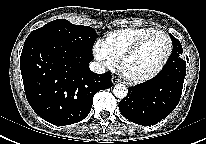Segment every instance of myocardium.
Instances as JSON below:
<instances>
[{"label": "myocardium", "mask_w": 206, "mask_h": 144, "mask_svg": "<svg viewBox=\"0 0 206 144\" xmlns=\"http://www.w3.org/2000/svg\"><path fill=\"white\" fill-rule=\"evenodd\" d=\"M155 36H163L167 39V42H168V51H167V54H166L164 60L162 61V63L153 72H151L147 75L140 76V77H132V76L128 75L124 70L125 63L133 55H135L144 46V44L147 41H149L151 38H153ZM172 52H173V42H172V39L170 38V36L165 32L155 31L151 34H148V35L144 36L140 40H138L136 43H134L131 47H129L122 54V56L119 59V70H120L121 74L123 75V77L127 81H129L130 83L142 84V83L149 82V81L155 79L157 76H159L162 73V71L165 69L168 62L170 61V58L172 56Z\"/></svg>", "instance_id": "myocardium-1"}]
</instances>
